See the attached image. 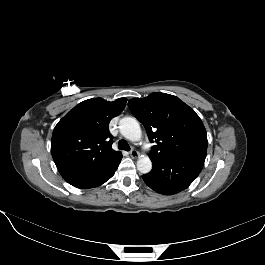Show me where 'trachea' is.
<instances>
[{
    "instance_id": "3493384b",
    "label": "trachea",
    "mask_w": 265,
    "mask_h": 265,
    "mask_svg": "<svg viewBox=\"0 0 265 265\" xmlns=\"http://www.w3.org/2000/svg\"><path fill=\"white\" fill-rule=\"evenodd\" d=\"M118 148L120 150H125V151H129L130 147L128 145V143L125 140H120L118 143Z\"/></svg>"
}]
</instances>
